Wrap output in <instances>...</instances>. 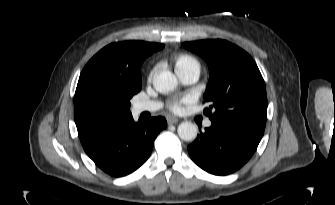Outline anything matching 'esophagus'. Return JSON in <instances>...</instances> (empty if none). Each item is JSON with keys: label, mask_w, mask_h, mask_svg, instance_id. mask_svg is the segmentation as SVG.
Instances as JSON below:
<instances>
[{"label": "esophagus", "mask_w": 335, "mask_h": 205, "mask_svg": "<svg viewBox=\"0 0 335 205\" xmlns=\"http://www.w3.org/2000/svg\"><path fill=\"white\" fill-rule=\"evenodd\" d=\"M178 121L179 120L177 118H175V117H168L167 118V122H168L169 125L176 124V123H178Z\"/></svg>", "instance_id": "1"}]
</instances>
